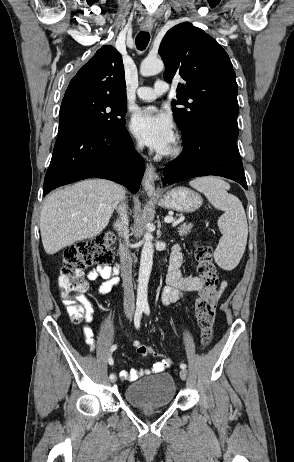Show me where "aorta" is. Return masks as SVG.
Returning a JSON list of instances; mask_svg holds the SVG:
<instances>
[{
  "mask_svg": "<svg viewBox=\"0 0 294 462\" xmlns=\"http://www.w3.org/2000/svg\"><path fill=\"white\" fill-rule=\"evenodd\" d=\"M164 68L162 60L158 58H146L142 61L140 66V73L142 76H152L160 73ZM152 235L149 231L144 234L142 243V251L140 258L138 286H137V299L136 305L138 308L148 307V283L153 264V243Z\"/></svg>",
  "mask_w": 294,
  "mask_h": 462,
  "instance_id": "obj_1",
  "label": "aorta"
}]
</instances>
